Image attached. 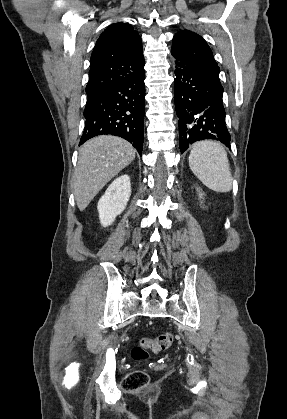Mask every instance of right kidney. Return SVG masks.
I'll use <instances>...</instances> for the list:
<instances>
[{
    "label": "right kidney",
    "instance_id": "ca27d5eb",
    "mask_svg": "<svg viewBox=\"0 0 287 419\" xmlns=\"http://www.w3.org/2000/svg\"><path fill=\"white\" fill-rule=\"evenodd\" d=\"M130 195L131 184L128 175L118 177L109 185L97 205L100 223L103 227L111 225L116 216L124 211Z\"/></svg>",
    "mask_w": 287,
    "mask_h": 419
}]
</instances>
